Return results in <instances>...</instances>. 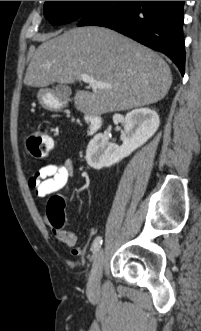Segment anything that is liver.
Instances as JSON below:
<instances>
[{
  "label": "liver",
  "mask_w": 201,
  "mask_h": 331,
  "mask_svg": "<svg viewBox=\"0 0 201 331\" xmlns=\"http://www.w3.org/2000/svg\"><path fill=\"white\" fill-rule=\"evenodd\" d=\"M81 74L112 86L76 91L74 105L87 115L156 103L172 84L171 70L157 53L101 27L73 28L54 38L44 37L28 65L24 84H73Z\"/></svg>",
  "instance_id": "6515ba94"
}]
</instances>
